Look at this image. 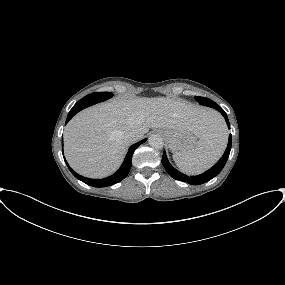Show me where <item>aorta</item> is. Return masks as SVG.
Returning <instances> with one entry per match:
<instances>
[{"instance_id": "762f6f07", "label": "aorta", "mask_w": 285, "mask_h": 285, "mask_svg": "<svg viewBox=\"0 0 285 285\" xmlns=\"http://www.w3.org/2000/svg\"><path fill=\"white\" fill-rule=\"evenodd\" d=\"M149 145L155 149H162L164 146L163 139L159 135H151L148 138Z\"/></svg>"}]
</instances>
